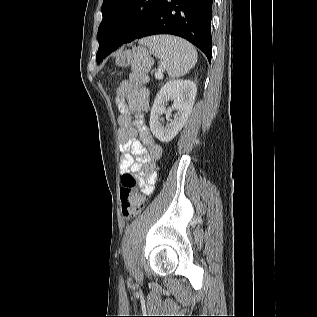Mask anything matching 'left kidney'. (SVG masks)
I'll list each match as a JSON object with an SVG mask.
<instances>
[{"mask_svg": "<svg viewBox=\"0 0 317 317\" xmlns=\"http://www.w3.org/2000/svg\"><path fill=\"white\" fill-rule=\"evenodd\" d=\"M197 93L196 84L190 80H174L166 83L159 91L151 109L150 129L161 142L171 141L182 129L190 115ZM173 100V106L167 110L165 104ZM176 110L174 119H169L164 126L160 122L162 114L171 115Z\"/></svg>", "mask_w": 317, "mask_h": 317, "instance_id": "5707ae66", "label": "left kidney"}]
</instances>
